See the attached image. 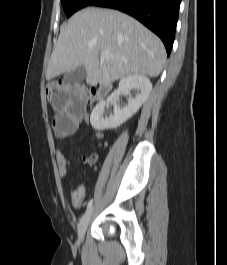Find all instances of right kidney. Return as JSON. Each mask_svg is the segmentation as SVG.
Here are the masks:
<instances>
[{"mask_svg": "<svg viewBox=\"0 0 227 265\" xmlns=\"http://www.w3.org/2000/svg\"><path fill=\"white\" fill-rule=\"evenodd\" d=\"M132 89L138 90L135 98L129 96L128 104L125 107L121 108L120 106H115L113 114L103 118L105 107H107L114 98H117L120 93L130 95ZM151 90L152 84L145 75L132 74L123 77L119 82L118 89L115 90L106 101L99 102L92 110L90 116L92 127L98 131L119 127L139 110L150 95Z\"/></svg>", "mask_w": 227, "mask_h": 265, "instance_id": "ca27d5eb", "label": "right kidney"}]
</instances>
